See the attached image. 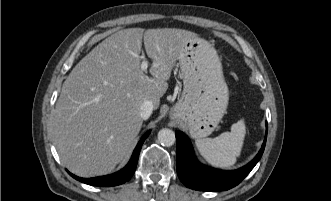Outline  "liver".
Returning <instances> with one entry per match:
<instances>
[{
	"label": "liver",
	"instance_id": "liver-1",
	"mask_svg": "<svg viewBox=\"0 0 331 201\" xmlns=\"http://www.w3.org/2000/svg\"><path fill=\"white\" fill-rule=\"evenodd\" d=\"M197 35L176 28L120 30L98 44L64 81L53 118L54 144L63 164L80 177L110 173L127 155L143 119L155 109L186 43ZM152 60L141 70V47Z\"/></svg>",
	"mask_w": 331,
	"mask_h": 201
}]
</instances>
